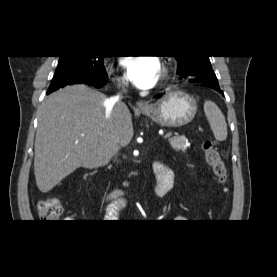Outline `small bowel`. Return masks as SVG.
<instances>
[{
    "label": "small bowel",
    "mask_w": 277,
    "mask_h": 277,
    "mask_svg": "<svg viewBox=\"0 0 277 277\" xmlns=\"http://www.w3.org/2000/svg\"><path fill=\"white\" fill-rule=\"evenodd\" d=\"M154 172L156 174V177L158 178L160 176L159 174V166L155 163L154 164ZM169 173L171 175V182L169 185H167L166 183H164L163 181H159L158 182V194L159 195H164L168 190L169 188L171 187V183H172V173L171 171L169 170Z\"/></svg>",
    "instance_id": "obj_1"
}]
</instances>
